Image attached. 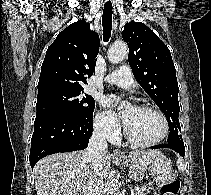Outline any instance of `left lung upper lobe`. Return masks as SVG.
<instances>
[{"instance_id":"obj_1","label":"left lung upper lobe","mask_w":211,"mask_h":195,"mask_svg":"<svg viewBox=\"0 0 211 195\" xmlns=\"http://www.w3.org/2000/svg\"><path fill=\"white\" fill-rule=\"evenodd\" d=\"M122 37L129 47V64L137 82L165 114L168 141L182 139L179 123L178 83L168 47L145 24H125Z\"/></svg>"}]
</instances>
